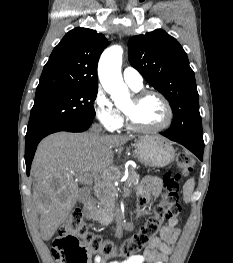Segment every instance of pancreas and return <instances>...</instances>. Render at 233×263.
<instances>
[{"label": "pancreas", "mask_w": 233, "mask_h": 263, "mask_svg": "<svg viewBox=\"0 0 233 263\" xmlns=\"http://www.w3.org/2000/svg\"><path fill=\"white\" fill-rule=\"evenodd\" d=\"M126 188L123 194H130V188H135L139 183V175L134 171H129V176L126 180ZM116 207L115 195L109 192L100 193L97 206L90 211V218L93 221H98L103 226H108L114 220V210Z\"/></svg>", "instance_id": "obj_1"}]
</instances>
